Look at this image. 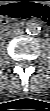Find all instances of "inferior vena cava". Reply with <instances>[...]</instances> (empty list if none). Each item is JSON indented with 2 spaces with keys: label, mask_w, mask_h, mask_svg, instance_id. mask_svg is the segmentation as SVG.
<instances>
[{
  "label": "inferior vena cava",
  "mask_w": 50,
  "mask_h": 111,
  "mask_svg": "<svg viewBox=\"0 0 50 111\" xmlns=\"http://www.w3.org/2000/svg\"><path fill=\"white\" fill-rule=\"evenodd\" d=\"M23 33H24L23 29L15 28V29H13V31L11 32V35H12V36H17V35H21V34H23Z\"/></svg>",
  "instance_id": "1"
}]
</instances>
